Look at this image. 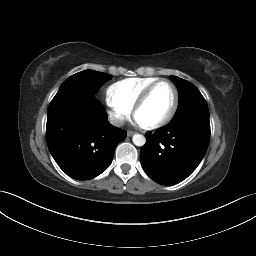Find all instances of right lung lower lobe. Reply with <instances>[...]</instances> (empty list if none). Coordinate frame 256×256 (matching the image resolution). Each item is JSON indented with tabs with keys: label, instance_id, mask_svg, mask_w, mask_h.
Masks as SVG:
<instances>
[{
	"label": "right lung lower lobe",
	"instance_id": "98d812e1",
	"mask_svg": "<svg viewBox=\"0 0 256 256\" xmlns=\"http://www.w3.org/2000/svg\"><path fill=\"white\" fill-rule=\"evenodd\" d=\"M95 90L88 87L81 100L48 108L46 138L59 167L70 177L89 180L101 174L112 162L126 131L112 126Z\"/></svg>",
	"mask_w": 256,
	"mask_h": 256
}]
</instances>
